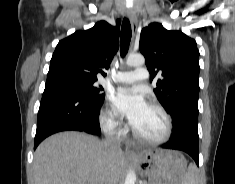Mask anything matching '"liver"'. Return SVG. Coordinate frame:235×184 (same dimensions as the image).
<instances>
[{
  "instance_id": "6515ba94",
  "label": "liver",
  "mask_w": 235,
  "mask_h": 184,
  "mask_svg": "<svg viewBox=\"0 0 235 184\" xmlns=\"http://www.w3.org/2000/svg\"><path fill=\"white\" fill-rule=\"evenodd\" d=\"M123 166L122 152H109L95 136L82 132H59L38 146L33 162L34 182L116 184Z\"/></svg>"
}]
</instances>
